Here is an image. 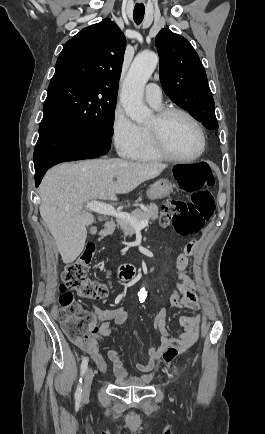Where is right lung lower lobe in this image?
Returning a JSON list of instances; mask_svg holds the SVG:
<instances>
[{"mask_svg": "<svg viewBox=\"0 0 265 434\" xmlns=\"http://www.w3.org/2000/svg\"><path fill=\"white\" fill-rule=\"evenodd\" d=\"M110 144V137L76 132L54 121L41 122L34 150L36 186L52 166L61 162L97 158L110 150Z\"/></svg>", "mask_w": 265, "mask_h": 434, "instance_id": "1", "label": "right lung lower lobe"}]
</instances>
